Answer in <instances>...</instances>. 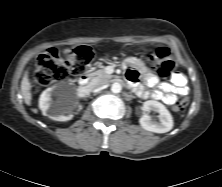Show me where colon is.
I'll return each instance as SVG.
<instances>
[{
  "label": "colon",
  "mask_w": 222,
  "mask_h": 187,
  "mask_svg": "<svg viewBox=\"0 0 222 187\" xmlns=\"http://www.w3.org/2000/svg\"><path fill=\"white\" fill-rule=\"evenodd\" d=\"M92 59V52L87 47L58 51L50 49L37 60L32 88L34 90L61 81L69 76H79L85 72ZM148 59L155 63V72L161 77L170 76L175 70V63L167 48L161 47L148 53ZM189 103L187 97H181L173 106L174 111L183 113Z\"/></svg>",
  "instance_id": "colon-1"
}]
</instances>
